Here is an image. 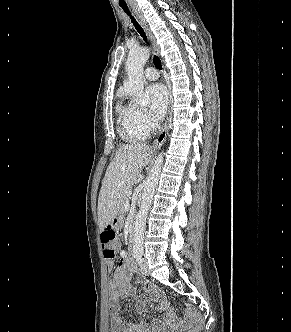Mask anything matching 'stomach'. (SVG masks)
Segmentation results:
<instances>
[{"mask_svg": "<svg viewBox=\"0 0 291 332\" xmlns=\"http://www.w3.org/2000/svg\"><path fill=\"white\" fill-rule=\"evenodd\" d=\"M123 215L122 212H119L117 216L112 220L111 225L114 228H119L122 224Z\"/></svg>", "mask_w": 291, "mask_h": 332, "instance_id": "0dacf381", "label": "stomach"}]
</instances>
